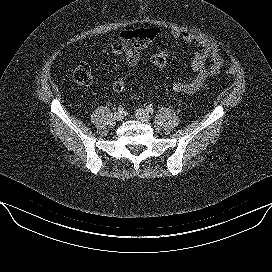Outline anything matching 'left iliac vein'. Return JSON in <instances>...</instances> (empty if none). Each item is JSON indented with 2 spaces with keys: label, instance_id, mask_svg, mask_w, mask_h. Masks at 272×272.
I'll return each mask as SVG.
<instances>
[{
  "label": "left iliac vein",
  "instance_id": "4c4485c4",
  "mask_svg": "<svg viewBox=\"0 0 272 272\" xmlns=\"http://www.w3.org/2000/svg\"><path fill=\"white\" fill-rule=\"evenodd\" d=\"M136 118L142 122H148L150 120V114L145 109H136Z\"/></svg>",
  "mask_w": 272,
  "mask_h": 272
}]
</instances>
